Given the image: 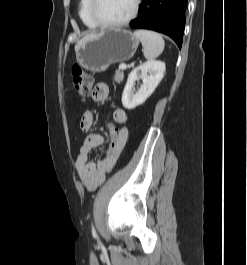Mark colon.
<instances>
[{
    "instance_id": "1",
    "label": "colon",
    "mask_w": 247,
    "mask_h": 265,
    "mask_svg": "<svg viewBox=\"0 0 247 265\" xmlns=\"http://www.w3.org/2000/svg\"><path fill=\"white\" fill-rule=\"evenodd\" d=\"M73 84L81 99H86L92 92L93 78L86 71H84L79 65H74L72 68ZM107 128L110 135V144L106 152L105 158L111 159L119 146L120 137L119 129L113 124L108 123Z\"/></svg>"
}]
</instances>
